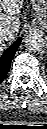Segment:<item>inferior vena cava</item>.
I'll return each mask as SVG.
<instances>
[{"instance_id": "inferior-vena-cava-1", "label": "inferior vena cava", "mask_w": 47, "mask_h": 129, "mask_svg": "<svg viewBox=\"0 0 47 129\" xmlns=\"http://www.w3.org/2000/svg\"><path fill=\"white\" fill-rule=\"evenodd\" d=\"M15 38V32L11 30L2 29L0 31V40L1 41H12Z\"/></svg>"}]
</instances>
